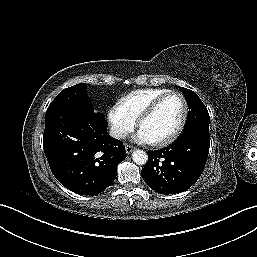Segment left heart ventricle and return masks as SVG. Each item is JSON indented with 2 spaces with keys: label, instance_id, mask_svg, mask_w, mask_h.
<instances>
[{
  "label": "left heart ventricle",
  "instance_id": "1",
  "mask_svg": "<svg viewBox=\"0 0 257 257\" xmlns=\"http://www.w3.org/2000/svg\"><path fill=\"white\" fill-rule=\"evenodd\" d=\"M183 114V104L179 96L168 97L155 113L146 119L140 130L155 142L171 135L177 128Z\"/></svg>",
  "mask_w": 257,
  "mask_h": 257
}]
</instances>
